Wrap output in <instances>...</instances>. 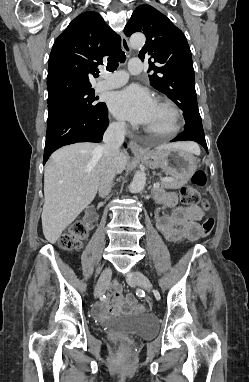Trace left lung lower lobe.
<instances>
[{"mask_svg": "<svg viewBox=\"0 0 249 382\" xmlns=\"http://www.w3.org/2000/svg\"><path fill=\"white\" fill-rule=\"evenodd\" d=\"M185 140L199 143L208 152L202 124H186L184 132L179 134L172 142Z\"/></svg>", "mask_w": 249, "mask_h": 382, "instance_id": "left-lung-lower-lobe-1", "label": "left lung lower lobe"}]
</instances>
